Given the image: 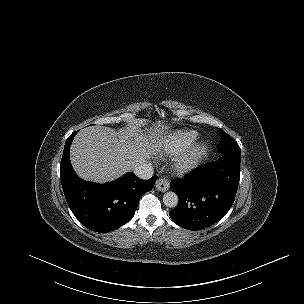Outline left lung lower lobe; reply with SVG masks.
<instances>
[{
  "mask_svg": "<svg viewBox=\"0 0 304 304\" xmlns=\"http://www.w3.org/2000/svg\"><path fill=\"white\" fill-rule=\"evenodd\" d=\"M241 151L230 150L215 162H208L170 188L179 197L169 212L179 226L190 230L207 228L221 220L231 208L240 179Z\"/></svg>",
  "mask_w": 304,
  "mask_h": 304,
  "instance_id": "1",
  "label": "left lung lower lobe"
}]
</instances>
